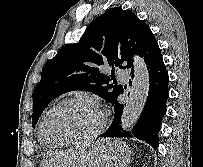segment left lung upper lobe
I'll use <instances>...</instances> for the list:
<instances>
[{
	"label": "left lung upper lobe",
	"instance_id": "5c2ea615",
	"mask_svg": "<svg viewBox=\"0 0 203 167\" xmlns=\"http://www.w3.org/2000/svg\"><path fill=\"white\" fill-rule=\"evenodd\" d=\"M154 39L150 28L130 10L110 8L94 19L78 43L65 45L43 66L33 97V127L46 106L69 91H90L114 105L124 90L109 84L115 68H131L133 53L141 55ZM100 66H110L111 77L101 73Z\"/></svg>",
	"mask_w": 203,
	"mask_h": 167
}]
</instances>
